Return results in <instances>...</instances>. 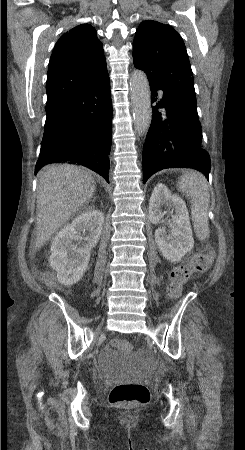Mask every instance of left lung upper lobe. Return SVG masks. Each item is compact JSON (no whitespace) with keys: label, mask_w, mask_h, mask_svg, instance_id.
Listing matches in <instances>:
<instances>
[{"label":"left lung upper lobe","mask_w":245,"mask_h":450,"mask_svg":"<svg viewBox=\"0 0 245 450\" xmlns=\"http://www.w3.org/2000/svg\"><path fill=\"white\" fill-rule=\"evenodd\" d=\"M133 61L135 67L148 77L161 80L197 108L194 78L185 44L171 26L143 21L133 41Z\"/></svg>","instance_id":"1"}]
</instances>
